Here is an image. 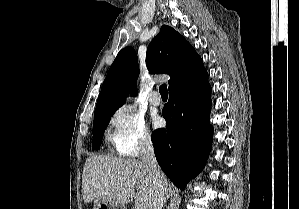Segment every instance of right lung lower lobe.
Returning <instances> with one entry per match:
<instances>
[{"label":"right lung lower lobe","mask_w":299,"mask_h":209,"mask_svg":"<svg viewBox=\"0 0 299 209\" xmlns=\"http://www.w3.org/2000/svg\"><path fill=\"white\" fill-rule=\"evenodd\" d=\"M210 92L207 72L192 82L169 90V102L162 110L166 128L152 133L158 164L183 190L203 169L211 149Z\"/></svg>","instance_id":"1"}]
</instances>
